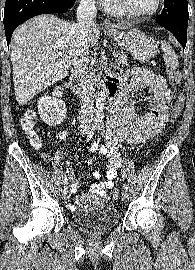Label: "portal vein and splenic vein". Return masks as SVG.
Listing matches in <instances>:
<instances>
[{
	"instance_id": "obj_1",
	"label": "portal vein and splenic vein",
	"mask_w": 195,
	"mask_h": 270,
	"mask_svg": "<svg viewBox=\"0 0 195 270\" xmlns=\"http://www.w3.org/2000/svg\"><path fill=\"white\" fill-rule=\"evenodd\" d=\"M118 55H119V54L116 53V52L112 53V56H113V57H118Z\"/></svg>"
}]
</instances>
